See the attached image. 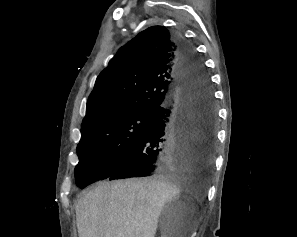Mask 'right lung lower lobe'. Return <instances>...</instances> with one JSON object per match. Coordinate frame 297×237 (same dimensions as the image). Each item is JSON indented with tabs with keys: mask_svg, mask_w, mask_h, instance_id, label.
<instances>
[{
	"mask_svg": "<svg viewBox=\"0 0 297 237\" xmlns=\"http://www.w3.org/2000/svg\"><path fill=\"white\" fill-rule=\"evenodd\" d=\"M174 41L180 79L175 96L154 112L141 138L97 181L210 172L216 121L212 89L194 49L180 35Z\"/></svg>",
	"mask_w": 297,
	"mask_h": 237,
	"instance_id": "98d812e1",
	"label": "right lung lower lobe"
}]
</instances>
